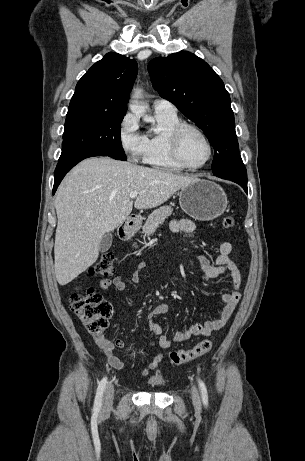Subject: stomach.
<instances>
[{
  "label": "stomach",
  "instance_id": "stomach-1",
  "mask_svg": "<svg viewBox=\"0 0 305 461\" xmlns=\"http://www.w3.org/2000/svg\"><path fill=\"white\" fill-rule=\"evenodd\" d=\"M179 203L181 209L193 219L209 221L224 213L228 201L224 190L218 184L206 179H197L181 188Z\"/></svg>",
  "mask_w": 305,
  "mask_h": 461
}]
</instances>
